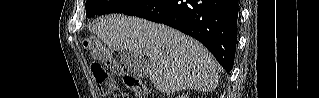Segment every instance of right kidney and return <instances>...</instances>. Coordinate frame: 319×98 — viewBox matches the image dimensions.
Instances as JSON below:
<instances>
[{"mask_svg":"<svg viewBox=\"0 0 319 98\" xmlns=\"http://www.w3.org/2000/svg\"><path fill=\"white\" fill-rule=\"evenodd\" d=\"M181 98H188V96H181Z\"/></svg>","mask_w":319,"mask_h":98,"instance_id":"ca27d5eb","label":"right kidney"}]
</instances>
